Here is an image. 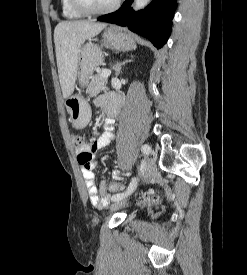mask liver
Returning <instances> with one entry per match:
<instances>
[{
	"label": "liver",
	"mask_w": 247,
	"mask_h": 275,
	"mask_svg": "<svg viewBox=\"0 0 247 275\" xmlns=\"http://www.w3.org/2000/svg\"><path fill=\"white\" fill-rule=\"evenodd\" d=\"M106 23L91 21H64L54 30V43L59 81L64 99L74 92L81 45L98 35Z\"/></svg>",
	"instance_id": "1"
}]
</instances>
